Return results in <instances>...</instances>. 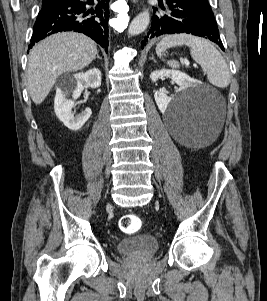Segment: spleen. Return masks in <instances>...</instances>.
<instances>
[{"instance_id": "obj_1", "label": "spleen", "mask_w": 267, "mask_h": 301, "mask_svg": "<svg viewBox=\"0 0 267 301\" xmlns=\"http://www.w3.org/2000/svg\"><path fill=\"white\" fill-rule=\"evenodd\" d=\"M182 45L190 48L192 58L201 65L212 85L225 88L230 84V72L225 59L212 43L203 38L189 34L168 35L157 44L156 53L161 58L166 49ZM167 64L179 68L177 61L170 60Z\"/></svg>"}]
</instances>
